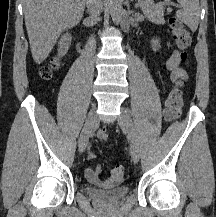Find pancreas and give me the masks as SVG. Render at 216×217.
Returning a JSON list of instances; mask_svg holds the SVG:
<instances>
[{
	"label": "pancreas",
	"mask_w": 216,
	"mask_h": 217,
	"mask_svg": "<svg viewBox=\"0 0 216 217\" xmlns=\"http://www.w3.org/2000/svg\"><path fill=\"white\" fill-rule=\"evenodd\" d=\"M141 9L145 16L155 24H164V10L161 5L155 4L153 0H145L141 3Z\"/></svg>",
	"instance_id": "1"
}]
</instances>
